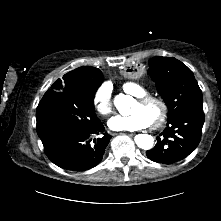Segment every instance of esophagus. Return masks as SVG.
I'll return each instance as SVG.
<instances>
[{
  "label": "esophagus",
  "instance_id": "1",
  "mask_svg": "<svg viewBox=\"0 0 221 221\" xmlns=\"http://www.w3.org/2000/svg\"><path fill=\"white\" fill-rule=\"evenodd\" d=\"M112 135L115 136V135H118V133H112ZM129 135H130V136H133V135H135V134H134V133H130Z\"/></svg>",
  "mask_w": 221,
  "mask_h": 221
}]
</instances>
